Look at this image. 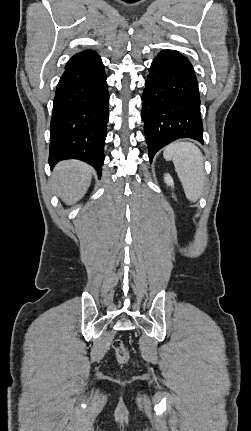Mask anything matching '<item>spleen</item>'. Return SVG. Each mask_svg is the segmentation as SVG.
I'll use <instances>...</instances> for the list:
<instances>
[{
	"label": "spleen",
	"mask_w": 251,
	"mask_h": 431,
	"mask_svg": "<svg viewBox=\"0 0 251 431\" xmlns=\"http://www.w3.org/2000/svg\"><path fill=\"white\" fill-rule=\"evenodd\" d=\"M163 156L173 161L188 200L197 201L205 183L204 159L200 149L190 142H176L164 149Z\"/></svg>",
	"instance_id": "obj_1"
}]
</instances>
